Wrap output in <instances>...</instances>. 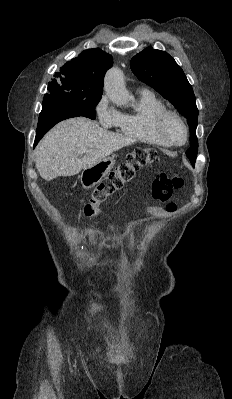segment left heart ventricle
Here are the masks:
<instances>
[{
    "mask_svg": "<svg viewBox=\"0 0 232 399\" xmlns=\"http://www.w3.org/2000/svg\"><path fill=\"white\" fill-rule=\"evenodd\" d=\"M165 129L168 135L177 143H182L186 138L184 127L174 117H168L166 119Z\"/></svg>",
    "mask_w": 232,
    "mask_h": 399,
    "instance_id": "b2bd125f",
    "label": "left heart ventricle"
}]
</instances>
